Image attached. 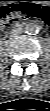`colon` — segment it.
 <instances>
[{
	"label": "colon",
	"instance_id": "obj_1",
	"mask_svg": "<svg viewBox=\"0 0 50 111\" xmlns=\"http://www.w3.org/2000/svg\"><path fill=\"white\" fill-rule=\"evenodd\" d=\"M0 16L4 24L19 18H35L48 22L50 21V9L46 5L23 0L3 7Z\"/></svg>",
	"mask_w": 50,
	"mask_h": 111
}]
</instances>
